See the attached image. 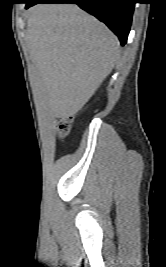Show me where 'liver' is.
Segmentation results:
<instances>
[{
    "label": "liver",
    "instance_id": "liver-1",
    "mask_svg": "<svg viewBox=\"0 0 166 267\" xmlns=\"http://www.w3.org/2000/svg\"><path fill=\"white\" fill-rule=\"evenodd\" d=\"M27 44L53 116L76 114L112 71L118 38L72 4H40L29 11Z\"/></svg>",
    "mask_w": 166,
    "mask_h": 267
}]
</instances>
